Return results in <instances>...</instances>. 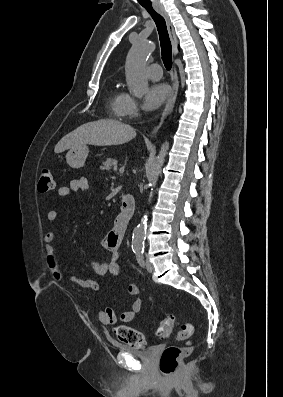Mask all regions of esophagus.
I'll return each mask as SVG.
<instances>
[{
    "mask_svg": "<svg viewBox=\"0 0 283 397\" xmlns=\"http://www.w3.org/2000/svg\"><path fill=\"white\" fill-rule=\"evenodd\" d=\"M155 10L161 15L163 16V18L165 19L167 28H168V32H169V36L171 39V43H172V48H173V55L176 56L178 54V41H177V37L175 34V30L174 27L172 25V22L169 18L168 13L164 10V8L161 5H154ZM173 79H174V84H173V91H172V95L169 98L164 111L162 113V117L160 122L158 123V125H156L152 131V133H155L162 121L166 118V116L170 113L171 109L173 108V105L175 103L176 97H177V93H178V87H179V83H178V78H177V72H176V67H174V72H173Z\"/></svg>",
    "mask_w": 283,
    "mask_h": 397,
    "instance_id": "esophagus-1",
    "label": "esophagus"
}]
</instances>
